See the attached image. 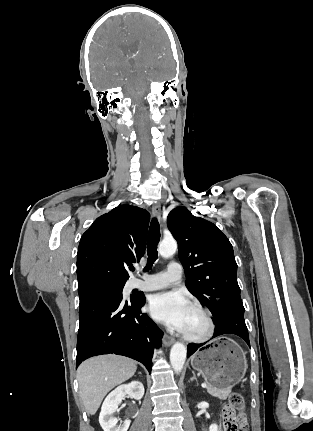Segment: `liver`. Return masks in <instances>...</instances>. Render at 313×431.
Listing matches in <instances>:
<instances>
[{"label": "liver", "instance_id": "liver-1", "mask_svg": "<svg viewBox=\"0 0 313 431\" xmlns=\"http://www.w3.org/2000/svg\"><path fill=\"white\" fill-rule=\"evenodd\" d=\"M136 369L135 361L116 355L97 356L84 361L77 370V378L87 413L94 415L106 394L131 378Z\"/></svg>", "mask_w": 313, "mask_h": 431}]
</instances>
